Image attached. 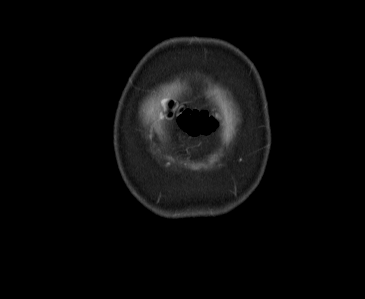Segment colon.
Instances as JSON below:
<instances>
[{
  "label": "colon",
  "instance_id": "1",
  "mask_svg": "<svg viewBox=\"0 0 365 299\" xmlns=\"http://www.w3.org/2000/svg\"><path fill=\"white\" fill-rule=\"evenodd\" d=\"M170 114L175 116L179 126L189 135H207L215 127L214 117L205 110H195L169 102Z\"/></svg>",
  "mask_w": 365,
  "mask_h": 299
}]
</instances>
